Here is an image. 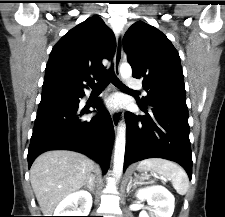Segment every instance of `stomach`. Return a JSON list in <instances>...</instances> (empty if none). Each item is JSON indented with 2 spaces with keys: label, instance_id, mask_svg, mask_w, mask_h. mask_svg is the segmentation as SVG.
<instances>
[{
  "label": "stomach",
  "instance_id": "0dacf381",
  "mask_svg": "<svg viewBox=\"0 0 225 217\" xmlns=\"http://www.w3.org/2000/svg\"><path fill=\"white\" fill-rule=\"evenodd\" d=\"M140 171H143V170H145L144 168H138Z\"/></svg>",
  "mask_w": 225,
  "mask_h": 217
}]
</instances>
